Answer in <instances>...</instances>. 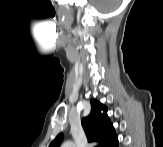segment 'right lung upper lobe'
I'll return each instance as SVG.
<instances>
[{
    "instance_id": "right-lung-upper-lobe-1",
    "label": "right lung upper lobe",
    "mask_w": 163,
    "mask_h": 147,
    "mask_svg": "<svg viewBox=\"0 0 163 147\" xmlns=\"http://www.w3.org/2000/svg\"><path fill=\"white\" fill-rule=\"evenodd\" d=\"M81 123L88 141L97 142L98 147H108L117 138L113 124L107 115V107L96 100H91V112L82 119ZM62 138L63 134H59L49 147H58Z\"/></svg>"
}]
</instances>
